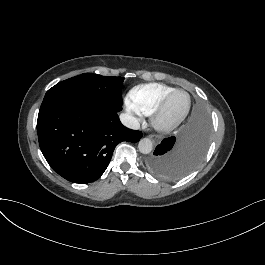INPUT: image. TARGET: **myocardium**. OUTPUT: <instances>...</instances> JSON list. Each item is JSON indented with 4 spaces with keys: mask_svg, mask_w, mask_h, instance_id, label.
Returning a JSON list of instances; mask_svg holds the SVG:
<instances>
[{
    "mask_svg": "<svg viewBox=\"0 0 265 265\" xmlns=\"http://www.w3.org/2000/svg\"><path fill=\"white\" fill-rule=\"evenodd\" d=\"M181 89H175L173 92L168 94L158 106L155 116L154 123L157 129L161 131H170L178 127L187 117L190 110V99H188L184 112L176 119L166 118V109L170 100L178 93H183Z\"/></svg>",
    "mask_w": 265,
    "mask_h": 265,
    "instance_id": "obj_1",
    "label": "myocardium"
}]
</instances>
